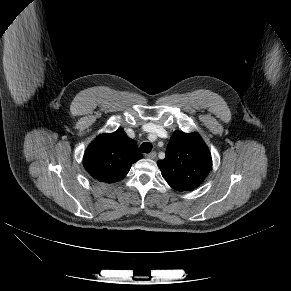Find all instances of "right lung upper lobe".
<instances>
[{"label":"right lung upper lobe","instance_id":"obj_1","mask_svg":"<svg viewBox=\"0 0 291 291\" xmlns=\"http://www.w3.org/2000/svg\"><path fill=\"white\" fill-rule=\"evenodd\" d=\"M142 158L137 144L123 129L99 135L86 149L83 164L86 171L99 182L122 180L131 165Z\"/></svg>","mask_w":291,"mask_h":291}]
</instances>
